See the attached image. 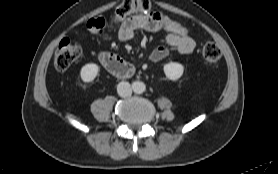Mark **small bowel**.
I'll list each match as a JSON object with an SVG mask.
<instances>
[{
  "mask_svg": "<svg viewBox=\"0 0 278 174\" xmlns=\"http://www.w3.org/2000/svg\"><path fill=\"white\" fill-rule=\"evenodd\" d=\"M160 12L136 13L125 20L118 26V37L121 41H128L133 38L137 31L143 30L151 33L165 32L167 45L180 54H190L196 47V42L191 37H180L172 32L167 31L160 17ZM169 54V49L165 46L156 47L151 55L150 60L159 62L165 59Z\"/></svg>",
  "mask_w": 278,
  "mask_h": 174,
  "instance_id": "c3829d8e",
  "label": "small bowel"
}]
</instances>
